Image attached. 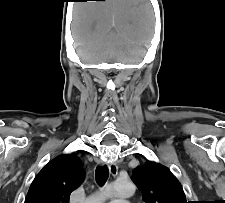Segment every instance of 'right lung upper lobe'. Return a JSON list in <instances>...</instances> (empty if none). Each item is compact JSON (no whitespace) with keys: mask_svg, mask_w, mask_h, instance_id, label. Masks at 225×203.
I'll return each instance as SVG.
<instances>
[{"mask_svg":"<svg viewBox=\"0 0 225 203\" xmlns=\"http://www.w3.org/2000/svg\"><path fill=\"white\" fill-rule=\"evenodd\" d=\"M84 180L82 163L74 154L61 155L39 172L25 203H69L70 194Z\"/></svg>","mask_w":225,"mask_h":203,"instance_id":"right-lung-upper-lobe-1","label":"right lung upper lobe"}]
</instances>
